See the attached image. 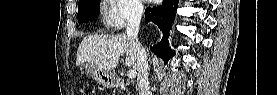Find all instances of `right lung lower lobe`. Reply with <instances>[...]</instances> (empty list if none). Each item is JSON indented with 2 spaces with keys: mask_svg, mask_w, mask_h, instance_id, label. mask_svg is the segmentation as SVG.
<instances>
[{
  "mask_svg": "<svg viewBox=\"0 0 277 95\" xmlns=\"http://www.w3.org/2000/svg\"><path fill=\"white\" fill-rule=\"evenodd\" d=\"M177 5L178 0H163L161 6L147 8L145 10L146 23L153 21L163 31L162 40L153 47H150V49L154 54L162 58L165 63L174 55L169 48L168 36L175 19Z\"/></svg>",
  "mask_w": 277,
  "mask_h": 95,
  "instance_id": "1",
  "label": "right lung lower lobe"
}]
</instances>
